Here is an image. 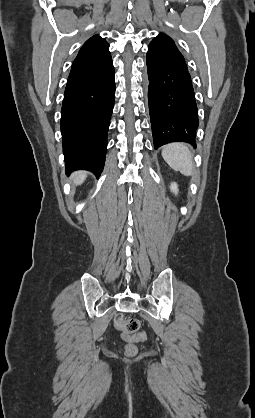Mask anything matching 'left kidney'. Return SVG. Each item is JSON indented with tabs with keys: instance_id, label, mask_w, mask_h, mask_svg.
<instances>
[{
	"instance_id": "obj_1",
	"label": "left kidney",
	"mask_w": 255,
	"mask_h": 418,
	"mask_svg": "<svg viewBox=\"0 0 255 418\" xmlns=\"http://www.w3.org/2000/svg\"><path fill=\"white\" fill-rule=\"evenodd\" d=\"M170 188H171V191H172L173 193H175V194H177V193H178V186H177V184H176V183H172Z\"/></svg>"
}]
</instances>
